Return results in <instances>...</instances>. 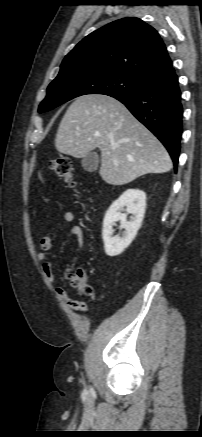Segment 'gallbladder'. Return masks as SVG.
Returning <instances> with one entry per match:
<instances>
[{"label": "gallbladder", "mask_w": 202, "mask_h": 437, "mask_svg": "<svg viewBox=\"0 0 202 437\" xmlns=\"http://www.w3.org/2000/svg\"><path fill=\"white\" fill-rule=\"evenodd\" d=\"M98 163H99L98 155L94 152H90L81 161L83 169L88 171V172L96 171L98 168Z\"/></svg>", "instance_id": "gallbladder-1"}]
</instances>
